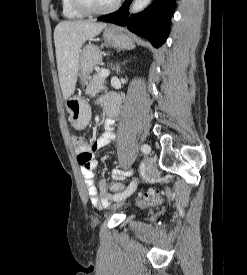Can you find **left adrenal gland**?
I'll list each match as a JSON object with an SVG mask.
<instances>
[{"mask_svg":"<svg viewBox=\"0 0 247 275\" xmlns=\"http://www.w3.org/2000/svg\"><path fill=\"white\" fill-rule=\"evenodd\" d=\"M115 70H116V73L118 74L120 72V65H117Z\"/></svg>","mask_w":247,"mask_h":275,"instance_id":"left-adrenal-gland-1","label":"left adrenal gland"}]
</instances>
